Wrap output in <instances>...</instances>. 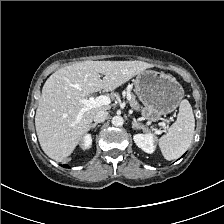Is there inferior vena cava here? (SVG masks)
<instances>
[{"label":"inferior vena cava","mask_w":224,"mask_h":224,"mask_svg":"<svg viewBox=\"0 0 224 224\" xmlns=\"http://www.w3.org/2000/svg\"><path fill=\"white\" fill-rule=\"evenodd\" d=\"M108 114H109V113H108L106 110H100V111H98V112L95 114L93 120H94L96 123H102V122H104V121L107 119Z\"/></svg>","instance_id":"1"}]
</instances>
